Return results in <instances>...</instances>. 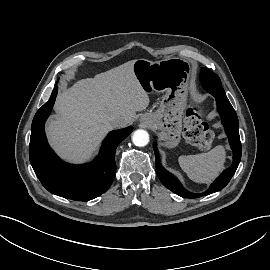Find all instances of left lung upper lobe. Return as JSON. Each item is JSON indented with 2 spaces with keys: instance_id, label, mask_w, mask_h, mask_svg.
<instances>
[{
  "instance_id": "5c2ea615",
  "label": "left lung upper lobe",
  "mask_w": 270,
  "mask_h": 270,
  "mask_svg": "<svg viewBox=\"0 0 270 270\" xmlns=\"http://www.w3.org/2000/svg\"><path fill=\"white\" fill-rule=\"evenodd\" d=\"M200 79L203 87L213 96L221 99H227L226 94L221 86L219 77L211 70L202 68Z\"/></svg>"
}]
</instances>
